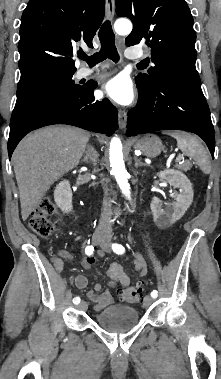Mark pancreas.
<instances>
[{
    "label": "pancreas",
    "mask_w": 221,
    "mask_h": 379,
    "mask_svg": "<svg viewBox=\"0 0 221 379\" xmlns=\"http://www.w3.org/2000/svg\"><path fill=\"white\" fill-rule=\"evenodd\" d=\"M177 168L182 171H188L191 168V164L190 163L180 164V165H177Z\"/></svg>",
    "instance_id": "1"
}]
</instances>
